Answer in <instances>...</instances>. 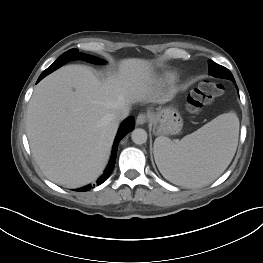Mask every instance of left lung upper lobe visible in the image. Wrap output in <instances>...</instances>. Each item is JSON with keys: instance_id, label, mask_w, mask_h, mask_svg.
Wrapping results in <instances>:
<instances>
[{"instance_id": "obj_1", "label": "left lung upper lobe", "mask_w": 263, "mask_h": 263, "mask_svg": "<svg viewBox=\"0 0 263 263\" xmlns=\"http://www.w3.org/2000/svg\"><path fill=\"white\" fill-rule=\"evenodd\" d=\"M210 66L214 67V69L216 70V74L213 76L220 77V78H227V79H230L232 81H235L231 72L228 69H226L225 67H223V66H221V65H219V64H217L211 60L209 61V67Z\"/></svg>"}]
</instances>
